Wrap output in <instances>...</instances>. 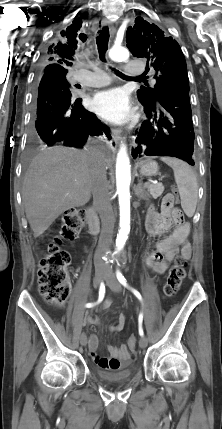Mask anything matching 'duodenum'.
<instances>
[{
    "instance_id": "duodenum-1",
    "label": "duodenum",
    "mask_w": 222,
    "mask_h": 429,
    "mask_svg": "<svg viewBox=\"0 0 222 429\" xmlns=\"http://www.w3.org/2000/svg\"><path fill=\"white\" fill-rule=\"evenodd\" d=\"M86 222L91 235H97L100 231V223L94 207L89 206L86 209Z\"/></svg>"
}]
</instances>
